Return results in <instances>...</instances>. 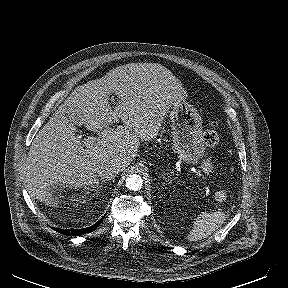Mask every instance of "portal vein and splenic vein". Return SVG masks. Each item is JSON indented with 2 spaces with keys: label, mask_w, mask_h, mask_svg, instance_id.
Returning a JSON list of instances; mask_svg holds the SVG:
<instances>
[{
  "label": "portal vein and splenic vein",
  "mask_w": 288,
  "mask_h": 288,
  "mask_svg": "<svg viewBox=\"0 0 288 288\" xmlns=\"http://www.w3.org/2000/svg\"><path fill=\"white\" fill-rule=\"evenodd\" d=\"M91 139V137H87L85 139L86 142H89V140ZM204 172H207V169H203ZM196 174L199 176V177H202L203 174H201L200 170H196Z\"/></svg>",
  "instance_id": "1"
}]
</instances>
